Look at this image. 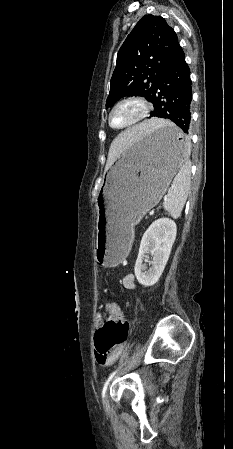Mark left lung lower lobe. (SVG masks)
I'll list each match as a JSON object with an SVG mask.
<instances>
[{
    "label": "left lung lower lobe",
    "mask_w": 233,
    "mask_h": 449,
    "mask_svg": "<svg viewBox=\"0 0 233 449\" xmlns=\"http://www.w3.org/2000/svg\"><path fill=\"white\" fill-rule=\"evenodd\" d=\"M151 102L154 111L150 117L170 119L182 130V134L162 133L160 141L173 149L185 147L191 127L192 82L183 50L162 74Z\"/></svg>",
    "instance_id": "0a47b994"
}]
</instances>
